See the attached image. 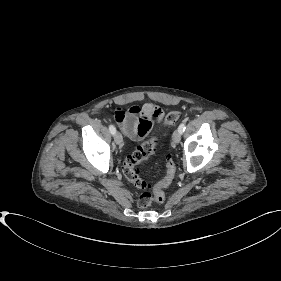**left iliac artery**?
<instances>
[{"mask_svg":"<svg viewBox=\"0 0 281 281\" xmlns=\"http://www.w3.org/2000/svg\"><path fill=\"white\" fill-rule=\"evenodd\" d=\"M185 123H181L180 125H179V127H178V130L181 132V133H183L184 131H185Z\"/></svg>","mask_w":281,"mask_h":281,"instance_id":"44dca946","label":"left iliac artery"}]
</instances>
